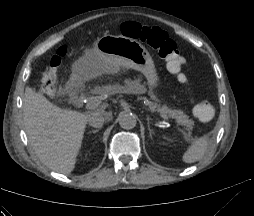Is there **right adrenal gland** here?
I'll list each match as a JSON object with an SVG mask.
<instances>
[{
  "label": "right adrenal gland",
  "mask_w": 254,
  "mask_h": 216,
  "mask_svg": "<svg viewBox=\"0 0 254 216\" xmlns=\"http://www.w3.org/2000/svg\"><path fill=\"white\" fill-rule=\"evenodd\" d=\"M99 131V129H95V130H92L91 132L92 133H97Z\"/></svg>",
  "instance_id": "right-adrenal-gland-1"
}]
</instances>
